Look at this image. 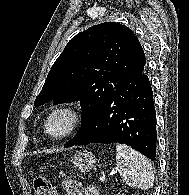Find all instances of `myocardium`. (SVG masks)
I'll return each instance as SVG.
<instances>
[{
    "instance_id": "myocardium-1",
    "label": "myocardium",
    "mask_w": 189,
    "mask_h": 195,
    "mask_svg": "<svg viewBox=\"0 0 189 195\" xmlns=\"http://www.w3.org/2000/svg\"><path fill=\"white\" fill-rule=\"evenodd\" d=\"M60 112L69 113L71 115V123H70L69 128L63 134L59 136H54L49 132L48 124L51 118ZM83 120H84L83 113L78 106L71 104V103L61 104V105L54 107L49 112V114L46 116L45 121H44V132L52 140H55V141L64 140L68 138L69 136H71L73 133H75L80 128V126L83 123Z\"/></svg>"
}]
</instances>
